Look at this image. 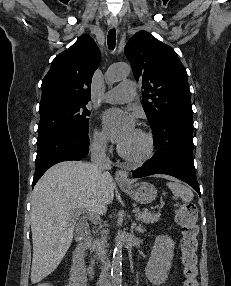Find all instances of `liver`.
I'll return each mask as SVG.
<instances>
[{
  "label": "liver",
  "instance_id": "liver-1",
  "mask_svg": "<svg viewBox=\"0 0 231 286\" xmlns=\"http://www.w3.org/2000/svg\"><path fill=\"white\" fill-rule=\"evenodd\" d=\"M114 187L111 176L102 179L92 164L82 161L61 162L45 172L31 199L33 284L50 275L64 258L79 219L76 211L98 218L100 209L112 203Z\"/></svg>",
  "mask_w": 231,
  "mask_h": 286
}]
</instances>
